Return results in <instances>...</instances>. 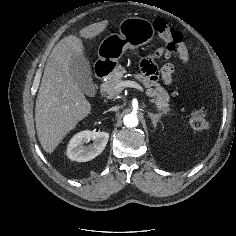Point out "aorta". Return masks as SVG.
Masks as SVG:
<instances>
[{"mask_svg":"<svg viewBox=\"0 0 236 236\" xmlns=\"http://www.w3.org/2000/svg\"><path fill=\"white\" fill-rule=\"evenodd\" d=\"M123 122L126 127L133 128L138 125L139 120L136 114L130 113L124 116Z\"/></svg>","mask_w":236,"mask_h":236,"instance_id":"obj_1","label":"aorta"}]
</instances>
